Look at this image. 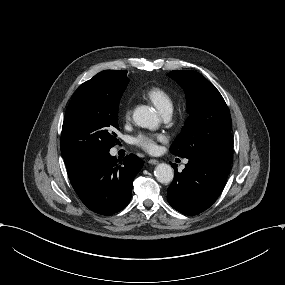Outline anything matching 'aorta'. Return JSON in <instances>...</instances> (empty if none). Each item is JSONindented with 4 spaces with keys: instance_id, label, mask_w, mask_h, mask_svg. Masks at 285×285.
I'll list each match as a JSON object with an SVG mask.
<instances>
[{
    "instance_id": "1",
    "label": "aorta",
    "mask_w": 285,
    "mask_h": 285,
    "mask_svg": "<svg viewBox=\"0 0 285 285\" xmlns=\"http://www.w3.org/2000/svg\"><path fill=\"white\" fill-rule=\"evenodd\" d=\"M134 122L141 127L153 129L158 127L159 119L156 110L150 106H139L133 113ZM154 174L160 183L168 184L174 178V172L170 165L166 163L158 164Z\"/></svg>"
}]
</instances>
